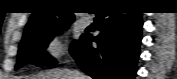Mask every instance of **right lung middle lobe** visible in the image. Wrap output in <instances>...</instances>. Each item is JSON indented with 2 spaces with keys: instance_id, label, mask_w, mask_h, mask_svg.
Instances as JSON below:
<instances>
[{
  "instance_id": "obj_1",
  "label": "right lung middle lobe",
  "mask_w": 177,
  "mask_h": 79,
  "mask_svg": "<svg viewBox=\"0 0 177 79\" xmlns=\"http://www.w3.org/2000/svg\"><path fill=\"white\" fill-rule=\"evenodd\" d=\"M70 24L39 30L30 36L22 38L18 51V62L16 69L26 65L35 64L37 66H55L57 61L48 53H45L49 42L55 35L66 30ZM79 40L73 41L70 52L75 48Z\"/></svg>"
}]
</instances>
